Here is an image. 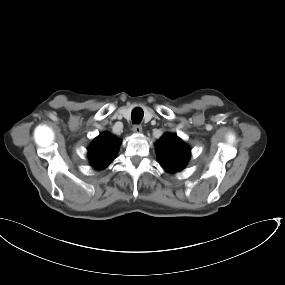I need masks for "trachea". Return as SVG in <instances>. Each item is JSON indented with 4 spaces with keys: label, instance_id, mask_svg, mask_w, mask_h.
<instances>
[{
    "label": "trachea",
    "instance_id": "obj_1",
    "mask_svg": "<svg viewBox=\"0 0 285 285\" xmlns=\"http://www.w3.org/2000/svg\"><path fill=\"white\" fill-rule=\"evenodd\" d=\"M143 115H144V113H143V110L141 108H135L132 111V115H131L133 123H140V121L143 118Z\"/></svg>",
    "mask_w": 285,
    "mask_h": 285
}]
</instances>
